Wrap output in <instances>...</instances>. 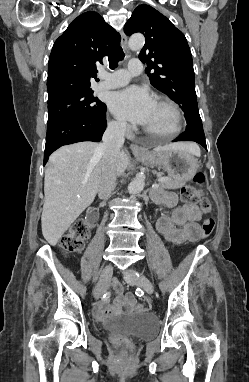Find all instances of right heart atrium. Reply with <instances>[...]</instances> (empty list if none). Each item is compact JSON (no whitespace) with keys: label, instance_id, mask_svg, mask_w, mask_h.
Returning <instances> with one entry per match:
<instances>
[{"label":"right heart atrium","instance_id":"d8ad5b80","mask_svg":"<svg viewBox=\"0 0 249 382\" xmlns=\"http://www.w3.org/2000/svg\"><path fill=\"white\" fill-rule=\"evenodd\" d=\"M109 126L111 130L117 134H125L129 129L128 124L121 119L112 120Z\"/></svg>","mask_w":249,"mask_h":382}]
</instances>
